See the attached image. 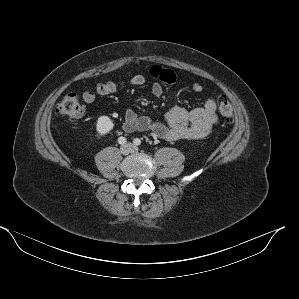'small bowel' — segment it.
Here are the masks:
<instances>
[{
  "mask_svg": "<svg viewBox=\"0 0 299 299\" xmlns=\"http://www.w3.org/2000/svg\"><path fill=\"white\" fill-rule=\"evenodd\" d=\"M150 75L157 80L151 87V91L156 97L163 94V85L174 84L178 79L173 71L158 65L150 69ZM145 82L146 79L141 74L134 75L127 82H100L94 90H84L82 97L86 103H93L97 95L106 96L128 85L142 86ZM191 89L196 94H201L204 91L203 85L199 82L193 83ZM216 109V99L210 97L203 106L190 111L183 107H176L163 122H157L147 116H139L132 109L127 108L122 128L127 133L150 131L166 141L199 139L208 135L213 126L218 123Z\"/></svg>",
  "mask_w": 299,
  "mask_h": 299,
  "instance_id": "1",
  "label": "small bowel"
}]
</instances>
